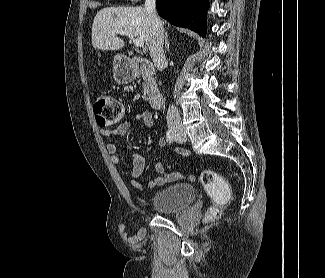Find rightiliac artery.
I'll use <instances>...</instances> for the list:
<instances>
[{
    "label": "right iliac artery",
    "mask_w": 325,
    "mask_h": 278,
    "mask_svg": "<svg viewBox=\"0 0 325 278\" xmlns=\"http://www.w3.org/2000/svg\"><path fill=\"white\" fill-rule=\"evenodd\" d=\"M166 139L169 144L173 143V131L169 129L166 133Z\"/></svg>",
    "instance_id": "obj_1"
}]
</instances>
